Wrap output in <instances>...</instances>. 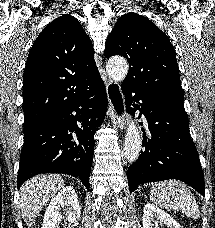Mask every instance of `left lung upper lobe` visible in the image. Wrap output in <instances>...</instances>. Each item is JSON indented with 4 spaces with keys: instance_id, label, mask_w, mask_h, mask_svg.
I'll list each match as a JSON object with an SVG mask.
<instances>
[{
    "instance_id": "5c2ea615",
    "label": "left lung upper lobe",
    "mask_w": 215,
    "mask_h": 228,
    "mask_svg": "<svg viewBox=\"0 0 215 228\" xmlns=\"http://www.w3.org/2000/svg\"><path fill=\"white\" fill-rule=\"evenodd\" d=\"M104 55L129 62L122 83L140 94L184 98L174 48L155 24L137 13L122 15L110 33Z\"/></svg>"
}]
</instances>
